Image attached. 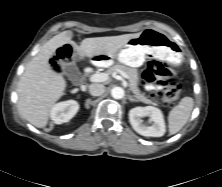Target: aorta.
Instances as JSON below:
<instances>
[{
	"instance_id": "762f6f07",
	"label": "aorta",
	"mask_w": 222,
	"mask_h": 187,
	"mask_svg": "<svg viewBox=\"0 0 222 187\" xmlns=\"http://www.w3.org/2000/svg\"><path fill=\"white\" fill-rule=\"evenodd\" d=\"M125 95V91L122 87H114L111 90V96L114 99H122Z\"/></svg>"
}]
</instances>
